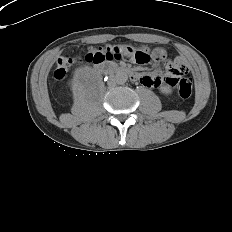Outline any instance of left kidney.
<instances>
[{"mask_svg":"<svg viewBox=\"0 0 232 232\" xmlns=\"http://www.w3.org/2000/svg\"><path fill=\"white\" fill-rule=\"evenodd\" d=\"M162 91L164 94H170L172 92V90L169 87H163Z\"/></svg>","mask_w":232,"mask_h":232,"instance_id":"obj_1","label":"left kidney"}]
</instances>
